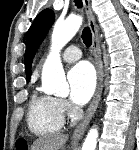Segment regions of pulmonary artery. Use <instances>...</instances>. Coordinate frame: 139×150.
Masks as SVG:
<instances>
[{
  "instance_id": "1",
  "label": "pulmonary artery",
  "mask_w": 139,
  "mask_h": 150,
  "mask_svg": "<svg viewBox=\"0 0 139 150\" xmlns=\"http://www.w3.org/2000/svg\"><path fill=\"white\" fill-rule=\"evenodd\" d=\"M82 52L76 46H69L62 54V58L66 62H74L81 58Z\"/></svg>"
}]
</instances>
